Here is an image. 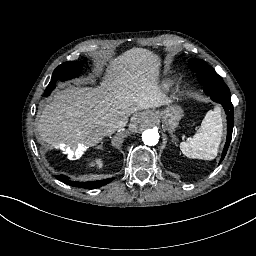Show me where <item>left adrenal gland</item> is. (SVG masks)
<instances>
[{
    "label": "left adrenal gland",
    "mask_w": 256,
    "mask_h": 256,
    "mask_svg": "<svg viewBox=\"0 0 256 256\" xmlns=\"http://www.w3.org/2000/svg\"><path fill=\"white\" fill-rule=\"evenodd\" d=\"M171 137L173 141H177L178 139L176 138V136L174 134L171 133Z\"/></svg>",
    "instance_id": "obj_1"
}]
</instances>
